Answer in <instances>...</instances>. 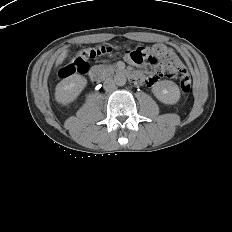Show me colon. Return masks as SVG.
Segmentation results:
<instances>
[{
  "label": "colon",
  "mask_w": 232,
  "mask_h": 232,
  "mask_svg": "<svg viewBox=\"0 0 232 232\" xmlns=\"http://www.w3.org/2000/svg\"><path fill=\"white\" fill-rule=\"evenodd\" d=\"M118 56L119 51L113 47L84 48L79 50L74 58L65 64L58 72L60 78H66L75 73H85L90 63L101 56ZM126 57L140 64L148 60L152 64H161V76H177L183 95H188L191 89V78L187 71L176 66L174 58L166 53L162 45H156L150 49L138 48L127 52Z\"/></svg>",
  "instance_id": "colon-1"
}]
</instances>
